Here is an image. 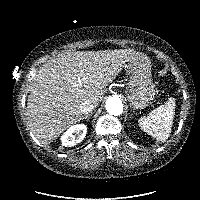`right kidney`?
Returning a JSON list of instances; mask_svg holds the SVG:
<instances>
[{"mask_svg":"<svg viewBox=\"0 0 200 200\" xmlns=\"http://www.w3.org/2000/svg\"><path fill=\"white\" fill-rule=\"evenodd\" d=\"M87 126L85 124H76L71 126L62 136L61 143L65 147H71L80 143L86 136Z\"/></svg>","mask_w":200,"mask_h":200,"instance_id":"ca27d5eb","label":"right kidney"}]
</instances>
